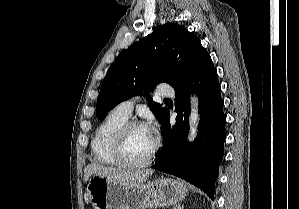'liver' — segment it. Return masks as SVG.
Returning a JSON list of instances; mask_svg holds the SVG:
<instances>
[{"instance_id": "liver-1", "label": "liver", "mask_w": 299, "mask_h": 209, "mask_svg": "<svg viewBox=\"0 0 299 209\" xmlns=\"http://www.w3.org/2000/svg\"><path fill=\"white\" fill-rule=\"evenodd\" d=\"M153 173V170H126L121 168L106 167L97 163L89 164L84 171V182L90 176L100 175L118 184H142Z\"/></svg>"}]
</instances>
